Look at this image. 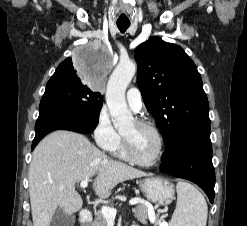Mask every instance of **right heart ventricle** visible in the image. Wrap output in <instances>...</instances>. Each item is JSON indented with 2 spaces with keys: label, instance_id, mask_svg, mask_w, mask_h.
Listing matches in <instances>:
<instances>
[{
  "label": "right heart ventricle",
  "instance_id": "right-heart-ventricle-1",
  "mask_svg": "<svg viewBox=\"0 0 247 226\" xmlns=\"http://www.w3.org/2000/svg\"><path fill=\"white\" fill-rule=\"evenodd\" d=\"M116 157L121 158V159H127L125 156V153L123 151V146H122V139L120 137L118 143L115 145L114 148L110 150Z\"/></svg>",
  "mask_w": 247,
  "mask_h": 226
}]
</instances>
